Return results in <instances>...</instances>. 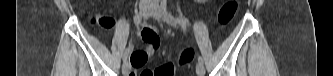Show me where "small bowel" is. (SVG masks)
Returning a JSON list of instances; mask_svg holds the SVG:
<instances>
[{"label":"small bowel","mask_w":333,"mask_h":76,"mask_svg":"<svg viewBox=\"0 0 333 76\" xmlns=\"http://www.w3.org/2000/svg\"><path fill=\"white\" fill-rule=\"evenodd\" d=\"M98 23L107 29H112L116 20L112 17L100 16ZM141 38L148 44L146 51H136L131 56V62L135 69L142 68L148 58L152 56L155 51L159 48L160 33L156 32L153 27H145V30L141 33ZM148 69L141 70V72H146ZM133 76V75H132Z\"/></svg>","instance_id":"obj_1"}]
</instances>
